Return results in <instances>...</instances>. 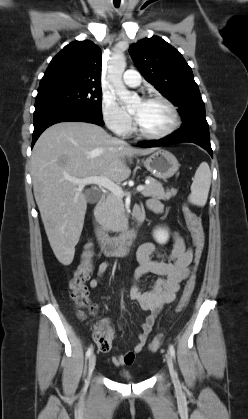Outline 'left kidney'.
<instances>
[{
  "mask_svg": "<svg viewBox=\"0 0 248 419\" xmlns=\"http://www.w3.org/2000/svg\"><path fill=\"white\" fill-rule=\"evenodd\" d=\"M153 237L158 243L165 244L169 239V232L166 228H157L153 232Z\"/></svg>",
  "mask_w": 248,
  "mask_h": 419,
  "instance_id": "left-kidney-1",
  "label": "left kidney"
}]
</instances>
